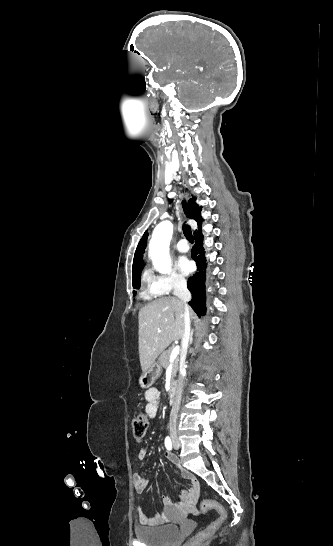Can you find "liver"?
Returning <instances> with one entry per match:
<instances>
[{"label": "liver", "mask_w": 333, "mask_h": 546, "mask_svg": "<svg viewBox=\"0 0 333 546\" xmlns=\"http://www.w3.org/2000/svg\"><path fill=\"white\" fill-rule=\"evenodd\" d=\"M184 305L174 297L161 298L140 309L138 314L139 358L143 372L173 341L182 339ZM191 319L195 313L189 309Z\"/></svg>", "instance_id": "6515ba94"}]
</instances>
